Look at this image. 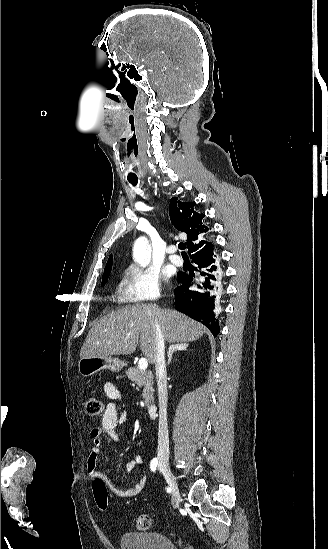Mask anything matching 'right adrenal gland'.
I'll return each instance as SVG.
<instances>
[{
  "label": "right adrenal gland",
  "instance_id": "2a0ac1e0",
  "mask_svg": "<svg viewBox=\"0 0 328 549\" xmlns=\"http://www.w3.org/2000/svg\"><path fill=\"white\" fill-rule=\"evenodd\" d=\"M188 347V343H181V345H172V347H169V351L167 353L168 365L171 363L172 353H175V351H188Z\"/></svg>",
  "mask_w": 328,
  "mask_h": 549
}]
</instances>
